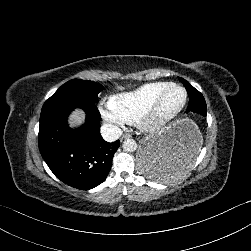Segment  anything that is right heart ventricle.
<instances>
[{
	"label": "right heart ventricle",
	"mask_w": 251,
	"mask_h": 251,
	"mask_svg": "<svg viewBox=\"0 0 251 251\" xmlns=\"http://www.w3.org/2000/svg\"><path fill=\"white\" fill-rule=\"evenodd\" d=\"M169 82L147 83L136 90L116 98L119 108L132 120L145 115L150 105Z\"/></svg>",
	"instance_id": "right-heart-ventricle-1"
}]
</instances>
